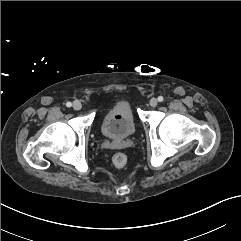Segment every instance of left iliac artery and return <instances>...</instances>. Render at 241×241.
<instances>
[{
  "instance_id": "obj_1",
  "label": "left iliac artery",
  "mask_w": 241,
  "mask_h": 241,
  "mask_svg": "<svg viewBox=\"0 0 241 241\" xmlns=\"http://www.w3.org/2000/svg\"><path fill=\"white\" fill-rule=\"evenodd\" d=\"M163 100H164V98H163L162 96H159V97H158V101H159V102H162Z\"/></svg>"
}]
</instances>
